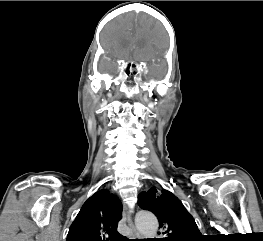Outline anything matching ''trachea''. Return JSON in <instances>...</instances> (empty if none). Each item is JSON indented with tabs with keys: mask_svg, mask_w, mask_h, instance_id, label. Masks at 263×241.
<instances>
[{
	"mask_svg": "<svg viewBox=\"0 0 263 241\" xmlns=\"http://www.w3.org/2000/svg\"><path fill=\"white\" fill-rule=\"evenodd\" d=\"M129 241H137V240H135V239H130Z\"/></svg>",
	"mask_w": 263,
	"mask_h": 241,
	"instance_id": "obj_1",
	"label": "trachea"
}]
</instances>
